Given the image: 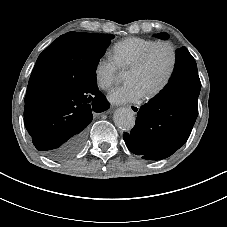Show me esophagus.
<instances>
[{"mask_svg": "<svg viewBox=\"0 0 227 227\" xmlns=\"http://www.w3.org/2000/svg\"><path fill=\"white\" fill-rule=\"evenodd\" d=\"M127 108L130 109L132 113L137 114L140 109V106L130 104V105H127Z\"/></svg>", "mask_w": 227, "mask_h": 227, "instance_id": "esophagus-1", "label": "esophagus"}]
</instances>
